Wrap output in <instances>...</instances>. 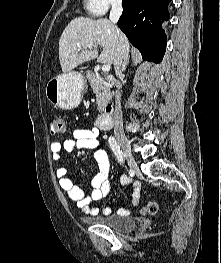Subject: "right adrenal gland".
<instances>
[{
  "label": "right adrenal gland",
  "instance_id": "right-adrenal-gland-1",
  "mask_svg": "<svg viewBox=\"0 0 221 263\" xmlns=\"http://www.w3.org/2000/svg\"><path fill=\"white\" fill-rule=\"evenodd\" d=\"M129 64V59H125L122 62L121 71L124 72L126 70L127 65Z\"/></svg>",
  "mask_w": 221,
  "mask_h": 263
}]
</instances>
